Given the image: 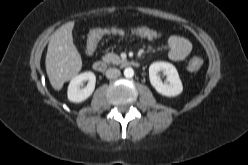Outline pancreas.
Here are the masks:
<instances>
[{
	"label": "pancreas",
	"instance_id": "obj_1",
	"mask_svg": "<svg viewBox=\"0 0 248 165\" xmlns=\"http://www.w3.org/2000/svg\"><path fill=\"white\" fill-rule=\"evenodd\" d=\"M103 60L108 63L113 64H120L123 62V60L120 59V57L114 53H107L103 56Z\"/></svg>",
	"mask_w": 248,
	"mask_h": 165
}]
</instances>
